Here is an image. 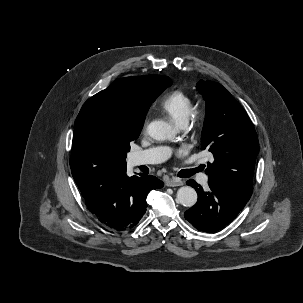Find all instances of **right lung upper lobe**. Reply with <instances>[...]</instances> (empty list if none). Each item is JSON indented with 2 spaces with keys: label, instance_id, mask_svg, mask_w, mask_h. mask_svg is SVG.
<instances>
[{
  "label": "right lung upper lobe",
  "instance_id": "obj_1",
  "mask_svg": "<svg viewBox=\"0 0 303 303\" xmlns=\"http://www.w3.org/2000/svg\"><path fill=\"white\" fill-rule=\"evenodd\" d=\"M170 85L167 76L121 78L84 103L75 120L70 158L71 169L90 175L79 188L82 195L93 185L126 172V158L102 142V126L113 123L139 134L151 103Z\"/></svg>",
  "mask_w": 303,
  "mask_h": 303
}]
</instances>
